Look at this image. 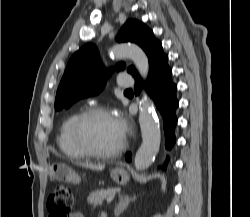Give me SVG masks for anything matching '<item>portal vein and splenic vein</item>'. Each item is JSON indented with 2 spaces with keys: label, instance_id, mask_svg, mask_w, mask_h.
<instances>
[{
  "label": "portal vein and splenic vein",
  "instance_id": "1",
  "mask_svg": "<svg viewBox=\"0 0 250 217\" xmlns=\"http://www.w3.org/2000/svg\"><path fill=\"white\" fill-rule=\"evenodd\" d=\"M114 199V195H110L106 198L107 203H110Z\"/></svg>",
  "mask_w": 250,
  "mask_h": 217
}]
</instances>
